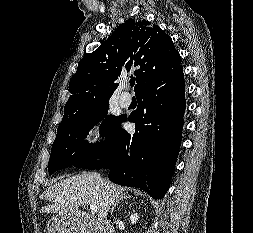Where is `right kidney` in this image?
Returning <instances> with one entry per match:
<instances>
[{
  "mask_svg": "<svg viewBox=\"0 0 253 233\" xmlns=\"http://www.w3.org/2000/svg\"><path fill=\"white\" fill-rule=\"evenodd\" d=\"M139 217L137 213L131 214L130 215V220L132 222V224H136V222L138 221Z\"/></svg>",
  "mask_w": 253,
  "mask_h": 233,
  "instance_id": "1",
  "label": "right kidney"
}]
</instances>
